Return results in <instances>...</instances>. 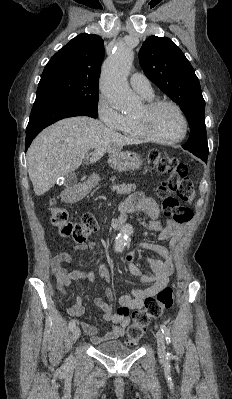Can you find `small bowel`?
Segmentation results:
<instances>
[{
  "mask_svg": "<svg viewBox=\"0 0 232 399\" xmlns=\"http://www.w3.org/2000/svg\"><path fill=\"white\" fill-rule=\"evenodd\" d=\"M127 208L130 210H141L148 215V220L143 224L142 230H159L160 235L156 241H146L139 245V248L150 250L158 253L163 261L157 259H150L149 262L152 267L151 273H143L139 266L134 263L138 256L139 248H132L125 253V261L128 264L129 272L135 276L139 283H151V286L140 288L136 290L131 296L123 294L119 297V307L116 312L111 311V306L108 302L102 299L93 301L94 305L101 312L100 319L104 324L112 323L111 328L105 333L100 332L101 328L89 324L85 320H80L79 329L90 335L91 343L93 345H102L109 343L112 345L118 344V336L121 335L129 326L130 310L140 309L144 306L145 300L157 295L169 283L170 278L175 268L174 253L171 250L164 248L160 242L164 240H171L173 245H177L183 235L184 228L182 226H161L157 220L159 202L155 198L147 197L142 192H135L130 194L127 199ZM76 249L89 250L90 255L84 260L80 261L78 268L67 271L63 264L70 263L72 256L69 252L61 251L56 254L50 263V274L55 277L56 284L63 296H66L65 289L73 286V282L78 278H87L93 284L97 283V276L93 273L87 272V268L93 263H101L103 260V253L94 250L92 242H80L75 245ZM99 276L104 283H111V274L108 268L100 264ZM106 297L108 300L113 298V291L110 287L106 290ZM66 311L71 316H83L85 312L84 299L80 293L76 294V300L73 305L66 307Z\"/></svg>",
  "mask_w": 232,
  "mask_h": 399,
  "instance_id": "c3829d8e",
  "label": "small bowel"
}]
</instances>
